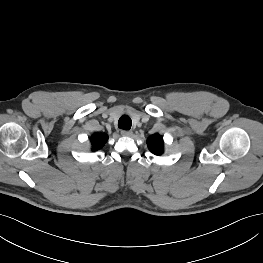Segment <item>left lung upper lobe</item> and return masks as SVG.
<instances>
[{"label":"left lung upper lobe","instance_id":"obj_1","mask_svg":"<svg viewBox=\"0 0 263 263\" xmlns=\"http://www.w3.org/2000/svg\"><path fill=\"white\" fill-rule=\"evenodd\" d=\"M147 145L149 150L155 155H161L163 153V138L159 134L151 135L147 139Z\"/></svg>","mask_w":263,"mask_h":263}]
</instances>
